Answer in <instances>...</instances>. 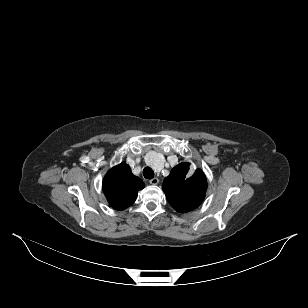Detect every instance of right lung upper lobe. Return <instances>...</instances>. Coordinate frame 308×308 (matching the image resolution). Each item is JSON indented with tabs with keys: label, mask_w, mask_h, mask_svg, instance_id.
I'll return each mask as SVG.
<instances>
[{
	"label": "right lung upper lobe",
	"mask_w": 308,
	"mask_h": 308,
	"mask_svg": "<svg viewBox=\"0 0 308 308\" xmlns=\"http://www.w3.org/2000/svg\"><path fill=\"white\" fill-rule=\"evenodd\" d=\"M144 188L143 181L132 174L126 163L113 167L103 181V192L116 210L131 206L137 198L138 191Z\"/></svg>",
	"instance_id": "cb5924a9"
}]
</instances>
